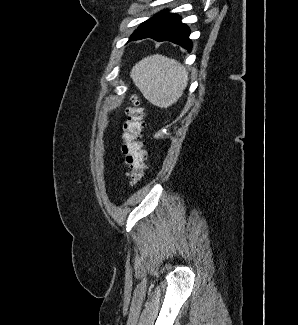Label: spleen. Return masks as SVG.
Returning <instances> with one entry per match:
<instances>
[{"mask_svg":"<svg viewBox=\"0 0 298 325\" xmlns=\"http://www.w3.org/2000/svg\"><path fill=\"white\" fill-rule=\"evenodd\" d=\"M130 76L143 96L160 108H168L179 100L188 82V72L175 58L149 54L138 60Z\"/></svg>","mask_w":298,"mask_h":325,"instance_id":"obj_1","label":"spleen"}]
</instances>
